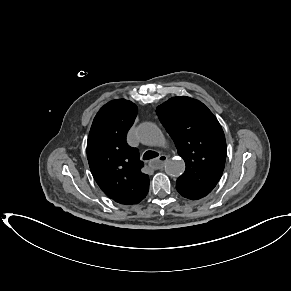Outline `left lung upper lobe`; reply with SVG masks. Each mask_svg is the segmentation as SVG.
I'll return each mask as SVG.
<instances>
[{"mask_svg": "<svg viewBox=\"0 0 291 291\" xmlns=\"http://www.w3.org/2000/svg\"><path fill=\"white\" fill-rule=\"evenodd\" d=\"M156 112L186 164L177 191L192 200L205 197L225 166L227 147L220 123L202 102L187 96L169 99Z\"/></svg>", "mask_w": 291, "mask_h": 291, "instance_id": "left-lung-upper-lobe-1", "label": "left lung upper lobe"}]
</instances>
